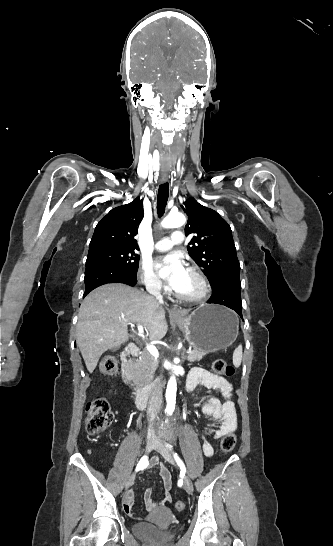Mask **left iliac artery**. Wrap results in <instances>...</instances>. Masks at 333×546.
I'll return each instance as SVG.
<instances>
[{
  "instance_id": "44dca946",
  "label": "left iliac artery",
  "mask_w": 333,
  "mask_h": 546,
  "mask_svg": "<svg viewBox=\"0 0 333 546\" xmlns=\"http://www.w3.org/2000/svg\"><path fill=\"white\" fill-rule=\"evenodd\" d=\"M173 455H174V458H175L177 464H178L179 467L181 468V471H182L183 473H185L186 468H185V466H184V463H183L182 460L179 458V456L177 455V453H173Z\"/></svg>"
}]
</instances>
